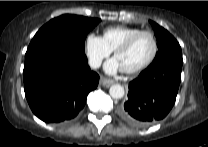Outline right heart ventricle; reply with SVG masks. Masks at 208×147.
Segmentation results:
<instances>
[{"label":"right heart ventricle","instance_id":"e07e8e85","mask_svg":"<svg viewBox=\"0 0 208 147\" xmlns=\"http://www.w3.org/2000/svg\"><path fill=\"white\" fill-rule=\"evenodd\" d=\"M141 31V29L132 26H112L108 27L103 32V39L111 51H114L131 35Z\"/></svg>","mask_w":208,"mask_h":147}]
</instances>
